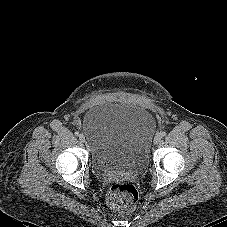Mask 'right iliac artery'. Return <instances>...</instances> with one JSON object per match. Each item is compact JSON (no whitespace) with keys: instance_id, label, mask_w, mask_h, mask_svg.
I'll return each instance as SVG.
<instances>
[{"instance_id":"82829eb1","label":"right iliac artery","mask_w":227,"mask_h":227,"mask_svg":"<svg viewBox=\"0 0 227 227\" xmlns=\"http://www.w3.org/2000/svg\"><path fill=\"white\" fill-rule=\"evenodd\" d=\"M75 135H76V136H79V132H78V131H76V132H75Z\"/></svg>"}]
</instances>
